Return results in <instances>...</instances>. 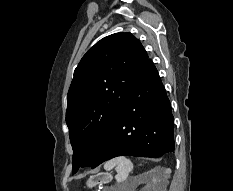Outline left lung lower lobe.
<instances>
[{
  "instance_id": "1",
  "label": "left lung lower lobe",
  "mask_w": 233,
  "mask_h": 191,
  "mask_svg": "<svg viewBox=\"0 0 233 191\" xmlns=\"http://www.w3.org/2000/svg\"><path fill=\"white\" fill-rule=\"evenodd\" d=\"M174 152L170 101L148 59L121 106L112 131L90 167L117 156L160 157Z\"/></svg>"
}]
</instances>
